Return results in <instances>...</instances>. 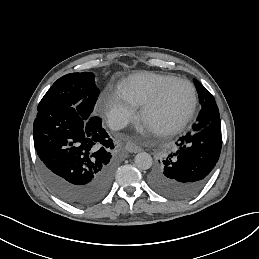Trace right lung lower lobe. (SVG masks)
Listing matches in <instances>:
<instances>
[{
	"label": "right lung lower lobe",
	"mask_w": 259,
	"mask_h": 259,
	"mask_svg": "<svg viewBox=\"0 0 259 259\" xmlns=\"http://www.w3.org/2000/svg\"><path fill=\"white\" fill-rule=\"evenodd\" d=\"M33 136L42 177L63 201L84 207L108 192L114 144L100 117L86 118L73 107L41 110Z\"/></svg>",
	"instance_id": "right-lung-lower-lobe-1"
}]
</instances>
